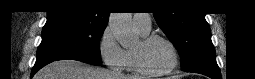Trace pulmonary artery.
Masks as SVG:
<instances>
[{
    "mask_svg": "<svg viewBox=\"0 0 255 79\" xmlns=\"http://www.w3.org/2000/svg\"><path fill=\"white\" fill-rule=\"evenodd\" d=\"M133 23L137 29L147 32L151 29V20L149 14H135Z\"/></svg>",
    "mask_w": 255,
    "mask_h": 79,
    "instance_id": "1",
    "label": "pulmonary artery"
}]
</instances>
